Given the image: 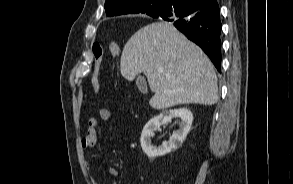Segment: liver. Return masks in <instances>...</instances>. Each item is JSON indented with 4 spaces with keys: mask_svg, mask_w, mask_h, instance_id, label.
<instances>
[{
    "mask_svg": "<svg viewBox=\"0 0 293 184\" xmlns=\"http://www.w3.org/2000/svg\"><path fill=\"white\" fill-rule=\"evenodd\" d=\"M121 75L132 81L144 72L154 96L149 104L165 109L181 104L213 105L217 76L210 59L172 24L154 22L139 29L125 44Z\"/></svg>",
    "mask_w": 293,
    "mask_h": 184,
    "instance_id": "liver-1",
    "label": "liver"
}]
</instances>
